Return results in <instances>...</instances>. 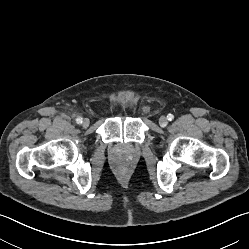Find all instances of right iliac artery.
<instances>
[{
  "mask_svg": "<svg viewBox=\"0 0 249 249\" xmlns=\"http://www.w3.org/2000/svg\"><path fill=\"white\" fill-rule=\"evenodd\" d=\"M77 124H81L83 122V119L81 117H78L76 119Z\"/></svg>",
  "mask_w": 249,
  "mask_h": 249,
  "instance_id": "1",
  "label": "right iliac artery"
}]
</instances>
